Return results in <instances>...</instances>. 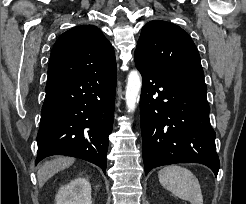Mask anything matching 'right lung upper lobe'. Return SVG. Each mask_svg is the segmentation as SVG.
Returning a JSON list of instances; mask_svg holds the SVG:
<instances>
[{
	"label": "right lung upper lobe",
	"instance_id": "1",
	"mask_svg": "<svg viewBox=\"0 0 246 204\" xmlns=\"http://www.w3.org/2000/svg\"><path fill=\"white\" fill-rule=\"evenodd\" d=\"M116 70L112 45L93 25L74 27L56 41L50 56L48 81L89 72Z\"/></svg>",
	"mask_w": 246,
	"mask_h": 204
}]
</instances>
